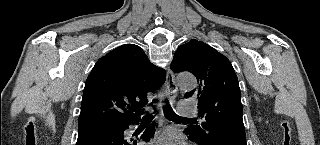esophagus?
<instances>
[{
    "label": "esophagus",
    "instance_id": "esophagus-1",
    "mask_svg": "<svg viewBox=\"0 0 320 145\" xmlns=\"http://www.w3.org/2000/svg\"><path fill=\"white\" fill-rule=\"evenodd\" d=\"M176 93H177V85H176L175 77L173 73L170 70H168L166 81L164 84V89H163V97L173 98L175 97ZM161 105H163V102L161 103ZM163 123L164 121L162 119V111H161L159 126L162 127Z\"/></svg>",
    "mask_w": 320,
    "mask_h": 145
}]
</instances>
